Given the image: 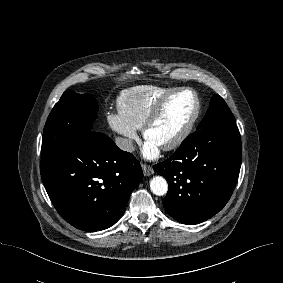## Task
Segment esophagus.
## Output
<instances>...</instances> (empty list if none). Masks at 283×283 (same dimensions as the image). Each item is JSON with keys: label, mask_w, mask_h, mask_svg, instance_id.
<instances>
[{"label": "esophagus", "mask_w": 283, "mask_h": 283, "mask_svg": "<svg viewBox=\"0 0 283 283\" xmlns=\"http://www.w3.org/2000/svg\"><path fill=\"white\" fill-rule=\"evenodd\" d=\"M142 169L145 176H150L154 173V170L150 165L142 164Z\"/></svg>", "instance_id": "34e87169"}]
</instances>
